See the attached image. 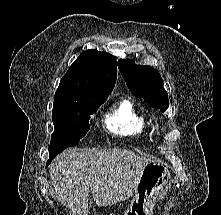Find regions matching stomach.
<instances>
[{"label": "stomach", "mask_w": 221, "mask_h": 215, "mask_svg": "<svg viewBox=\"0 0 221 215\" xmlns=\"http://www.w3.org/2000/svg\"><path fill=\"white\" fill-rule=\"evenodd\" d=\"M169 170L157 162L146 164L135 180L134 198L125 215H151L155 201L167 191Z\"/></svg>", "instance_id": "0dacf381"}]
</instances>
